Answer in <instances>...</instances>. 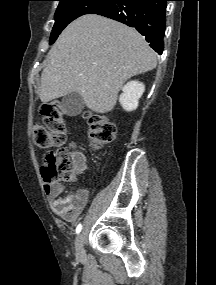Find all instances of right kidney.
I'll list each match as a JSON object with an SVG mask.
<instances>
[{
	"label": "right kidney",
	"mask_w": 216,
	"mask_h": 285,
	"mask_svg": "<svg viewBox=\"0 0 216 285\" xmlns=\"http://www.w3.org/2000/svg\"><path fill=\"white\" fill-rule=\"evenodd\" d=\"M145 86L138 81L128 82L122 89L119 101L126 111H133L138 107L139 99L143 95Z\"/></svg>",
	"instance_id": "1"
}]
</instances>
